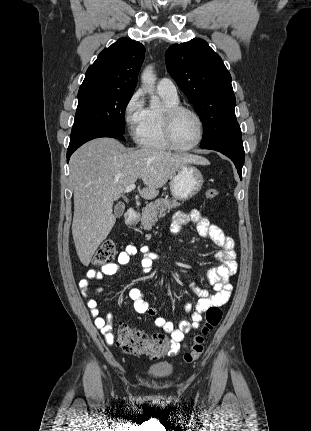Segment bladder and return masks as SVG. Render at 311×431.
<instances>
[{
    "label": "bladder",
    "instance_id": "obj_1",
    "mask_svg": "<svg viewBox=\"0 0 311 431\" xmlns=\"http://www.w3.org/2000/svg\"><path fill=\"white\" fill-rule=\"evenodd\" d=\"M147 374L155 379H167L174 374V367L170 363H158L148 367Z\"/></svg>",
    "mask_w": 311,
    "mask_h": 431
}]
</instances>
